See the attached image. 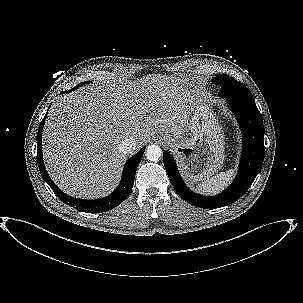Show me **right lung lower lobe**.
<instances>
[{
	"mask_svg": "<svg viewBox=\"0 0 303 303\" xmlns=\"http://www.w3.org/2000/svg\"><path fill=\"white\" fill-rule=\"evenodd\" d=\"M46 115L43 118L37 133V162L43 179L48 183L59 199L72 207L91 213L105 212L121 204L129 196L132 190L136 170L143 157L145 148H142L137 154L127 160L123 169L121 182L115 191L109 196L97 200H83L70 197L63 193L53 183L44 166L42 155V130Z\"/></svg>",
	"mask_w": 303,
	"mask_h": 303,
	"instance_id": "obj_1",
	"label": "right lung lower lobe"
}]
</instances>
